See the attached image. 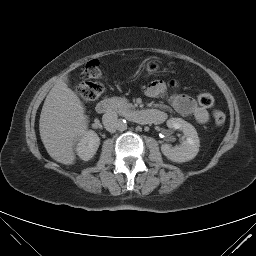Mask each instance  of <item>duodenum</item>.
I'll return each mask as SVG.
<instances>
[{"label":"duodenum","mask_w":256,"mask_h":256,"mask_svg":"<svg viewBox=\"0 0 256 256\" xmlns=\"http://www.w3.org/2000/svg\"><path fill=\"white\" fill-rule=\"evenodd\" d=\"M115 103L112 99H104L96 105V111L100 114L108 113L114 109ZM160 114L150 110H136L130 113V118L140 124L157 123Z\"/></svg>","instance_id":"duodenum-1"}]
</instances>
